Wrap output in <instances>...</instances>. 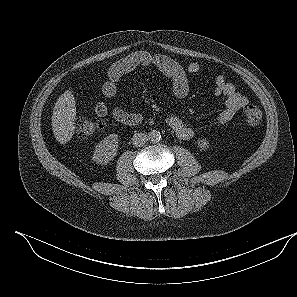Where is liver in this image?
Wrapping results in <instances>:
<instances>
[{"instance_id": "liver-1", "label": "liver", "mask_w": 297, "mask_h": 297, "mask_svg": "<svg viewBox=\"0 0 297 297\" xmlns=\"http://www.w3.org/2000/svg\"><path fill=\"white\" fill-rule=\"evenodd\" d=\"M76 101L70 90H66L55 103L52 115V130L60 144L71 140L75 131Z\"/></svg>"}]
</instances>
